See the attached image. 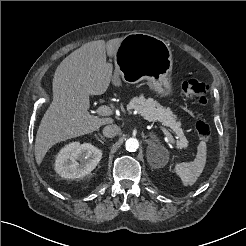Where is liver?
<instances>
[{
	"mask_svg": "<svg viewBox=\"0 0 246 246\" xmlns=\"http://www.w3.org/2000/svg\"><path fill=\"white\" fill-rule=\"evenodd\" d=\"M122 39L88 42L58 65L52 82L53 101L36 134L34 151L38 165L55 144L113 123L110 117L99 118L89 113V95H101L108 89L113 67L106 57L115 56Z\"/></svg>",
	"mask_w": 246,
	"mask_h": 246,
	"instance_id": "1",
	"label": "liver"
}]
</instances>
